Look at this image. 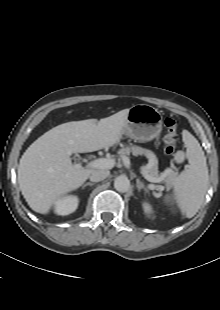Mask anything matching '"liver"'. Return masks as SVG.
<instances>
[{"mask_svg": "<svg viewBox=\"0 0 220 310\" xmlns=\"http://www.w3.org/2000/svg\"><path fill=\"white\" fill-rule=\"evenodd\" d=\"M128 112L124 109L99 121L67 122L34 141L18 166L19 188L30 208L47 214L60 198L79 188L94 170L72 164L70 156L117 144Z\"/></svg>", "mask_w": 220, "mask_h": 310, "instance_id": "6515ba94", "label": "liver"}]
</instances>
